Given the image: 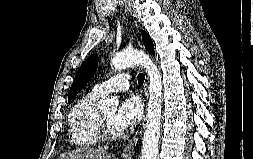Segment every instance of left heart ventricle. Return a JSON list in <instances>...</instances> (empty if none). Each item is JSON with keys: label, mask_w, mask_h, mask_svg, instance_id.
<instances>
[{"label": "left heart ventricle", "mask_w": 253, "mask_h": 159, "mask_svg": "<svg viewBox=\"0 0 253 159\" xmlns=\"http://www.w3.org/2000/svg\"><path fill=\"white\" fill-rule=\"evenodd\" d=\"M102 116L104 117L106 123L108 124L109 128L116 132L115 129L113 128V118L115 116V110H109V111H104V112H101Z\"/></svg>", "instance_id": "obj_1"}]
</instances>
